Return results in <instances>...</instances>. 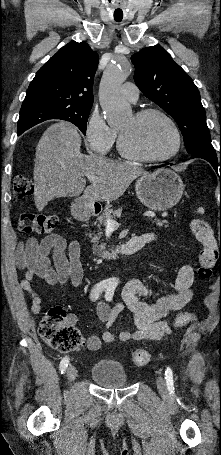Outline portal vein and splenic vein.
<instances>
[{"label": "portal vein and splenic vein", "instance_id": "obj_1", "mask_svg": "<svg viewBox=\"0 0 221 455\" xmlns=\"http://www.w3.org/2000/svg\"><path fill=\"white\" fill-rule=\"evenodd\" d=\"M86 177L90 181H96L97 180V177L92 175V174H87ZM143 215L146 216V217H149V218L155 217V214H153L151 212H146ZM106 225H107V227L116 229V228H119L120 223H118L116 220H114L112 218H109V219H107Z\"/></svg>", "mask_w": 221, "mask_h": 455}]
</instances>
